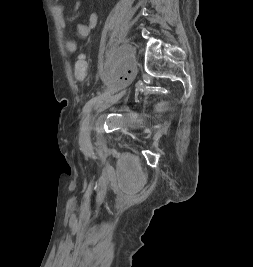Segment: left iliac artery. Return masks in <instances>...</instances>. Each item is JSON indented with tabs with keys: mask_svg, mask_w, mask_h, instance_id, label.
<instances>
[{
	"mask_svg": "<svg viewBox=\"0 0 253 267\" xmlns=\"http://www.w3.org/2000/svg\"><path fill=\"white\" fill-rule=\"evenodd\" d=\"M110 92H114L112 90H108V91H105L103 93H101L100 95L98 96H95L93 97L92 99H90L86 104L85 106L83 107V115L86 116L90 111H91V108L93 105H96L98 103H101L102 102V99L103 97L106 95V94H109Z\"/></svg>",
	"mask_w": 253,
	"mask_h": 267,
	"instance_id": "left-iliac-artery-1",
	"label": "left iliac artery"
}]
</instances>
